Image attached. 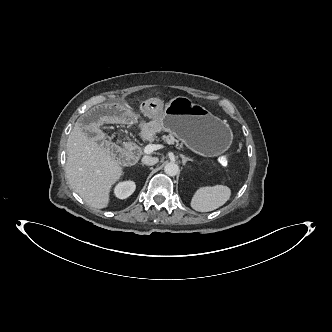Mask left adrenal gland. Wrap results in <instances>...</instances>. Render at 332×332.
<instances>
[{
	"label": "left adrenal gland",
	"instance_id": "obj_1",
	"mask_svg": "<svg viewBox=\"0 0 332 332\" xmlns=\"http://www.w3.org/2000/svg\"><path fill=\"white\" fill-rule=\"evenodd\" d=\"M182 158V164L185 166L188 161H193L191 158L185 157L184 155L180 154Z\"/></svg>",
	"mask_w": 332,
	"mask_h": 332
}]
</instances>
